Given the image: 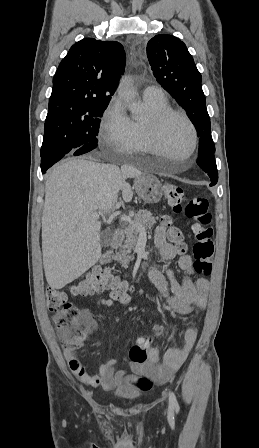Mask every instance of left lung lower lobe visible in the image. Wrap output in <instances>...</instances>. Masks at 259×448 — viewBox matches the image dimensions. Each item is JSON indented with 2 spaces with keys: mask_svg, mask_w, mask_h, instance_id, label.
Here are the masks:
<instances>
[{
  "mask_svg": "<svg viewBox=\"0 0 259 448\" xmlns=\"http://www.w3.org/2000/svg\"><path fill=\"white\" fill-rule=\"evenodd\" d=\"M197 163L199 167L208 174L211 179L210 186H213L218 181V172L214 152L207 153L198 157Z\"/></svg>",
  "mask_w": 259,
  "mask_h": 448,
  "instance_id": "1",
  "label": "left lung lower lobe"
}]
</instances>
